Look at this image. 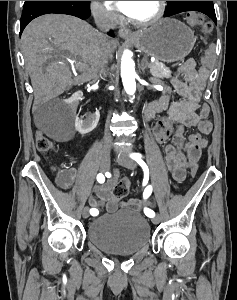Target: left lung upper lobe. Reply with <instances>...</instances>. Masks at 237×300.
Listing matches in <instances>:
<instances>
[{
  "instance_id": "obj_1",
  "label": "left lung upper lobe",
  "mask_w": 237,
  "mask_h": 300,
  "mask_svg": "<svg viewBox=\"0 0 237 300\" xmlns=\"http://www.w3.org/2000/svg\"><path fill=\"white\" fill-rule=\"evenodd\" d=\"M168 8L166 15L172 16L175 14V10L182 7L194 6V5H213V1H167Z\"/></svg>"
}]
</instances>
